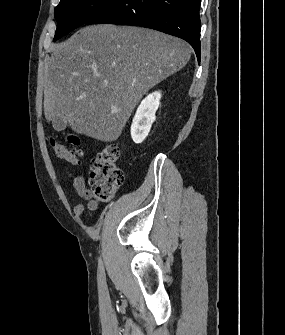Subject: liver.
<instances>
[{"mask_svg":"<svg viewBox=\"0 0 285 335\" xmlns=\"http://www.w3.org/2000/svg\"><path fill=\"white\" fill-rule=\"evenodd\" d=\"M44 82V116L76 134L118 140L144 94L182 70L191 48L162 32L132 26H86L52 44Z\"/></svg>","mask_w":285,"mask_h":335,"instance_id":"1","label":"liver"}]
</instances>
